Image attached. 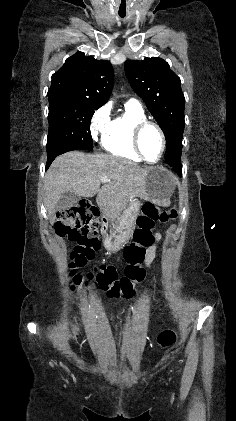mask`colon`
I'll list each match as a JSON object with an SVG mask.
<instances>
[{
  "mask_svg": "<svg viewBox=\"0 0 236 421\" xmlns=\"http://www.w3.org/2000/svg\"><path fill=\"white\" fill-rule=\"evenodd\" d=\"M177 215L176 207L166 209L150 202L144 203L137 218L134 241L124 251L127 262L125 275L120 277L114 266L100 265L86 275V282L94 281L110 298L132 297L135 285L144 278V269L141 264L147 256L146 250L155 242L153 228L156 223L168 222ZM100 228V223L86 216L81 208L68 207L58 213L55 225L57 234L76 243L70 255L69 266L72 268L71 275L74 276V282L77 284L81 283L84 277L76 274L75 268L86 264L99 250ZM175 342L176 334L172 330H165L158 336V343L162 348H170Z\"/></svg>",
  "mask_w": 236,
  "mask_h": 421,
  "instance_id": "obj_1",
  "label": "colon"
}]
</instances>
